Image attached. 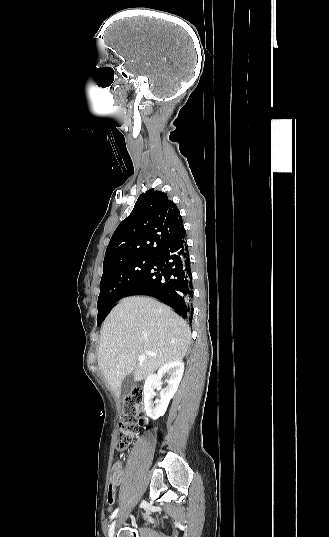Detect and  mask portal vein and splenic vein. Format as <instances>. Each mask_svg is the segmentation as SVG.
<instances>
[{
  "label": "portal vein and splenic vein",
  "instance_id": "1",
  "mask_svg": "<svg viewBox=\"0 0 329 537\" xmlns=\"http://www.w3.org/2000/svg\"><path fill=\"white\" fill-rule=\"evenodd\" d=\"M148 355H149V356H155L154 353H150V352L148 353ZM138 360H139V362H143V361L145 360V356L140 355V356L138 357Z\"/></svg>",
  "mask_w": 329,
  "mask_h": 537
}]
</instances>
